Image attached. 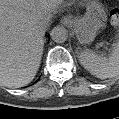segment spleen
Returning <instances> with one entry per match:
<instances>
[{
    "label": "spleen",
    "mask_w": 119,
    "mask_h": 119,
    "mask_svg": "<svg viewBox=\"0 0 119 119\" xmlns=\"http://www.w3.org/2000/svg\"><path fill=\"white\" fill-rule=\"evenodd\" d=\"M78 59L87 71L99 79L119 76V39L113 44L110 57H102L91 50H84L78 54Z\"/></svg>",
    "instance_id": "obj_1"
}]
</instances>
